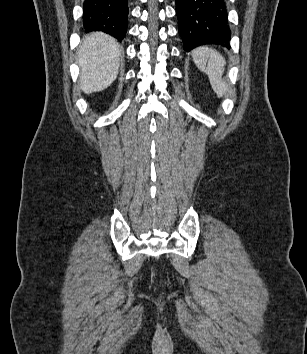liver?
Instances as JSON below:
<instances>
[{
    "label": "liver",
    "mask_w": 307,
    "mask_h": 354,
    "mask_svg": "<svg viewBox=\"0 0 307 354\" xmlns=\"http://www.w3.org/2000/svg\"><path fill=\"white\" fill-rule=\"evenodd\" d=\"M122 47L105 33H92L80 45L77 64L80 66V86L91 94L109 87L116 79Z\"/></svg>",
    "instance_id": "liver-1"
}]
</instances>
